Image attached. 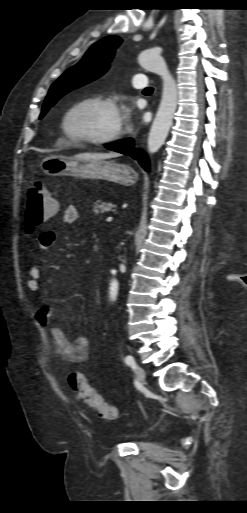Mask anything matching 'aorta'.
<instances>
[{
    "label": "aorta",
    "mask_w": 247,
    "mask_h": 513,
    "mask_svg": "<svg viewBox=\"0 0 247 513\" xmlns=\"http://www.w3.org/2000/svg\"><path fill=\"white\" fill-rule=\"evenodd\" d=\"M138 63L144 69L159 75L163 81L162 97L156 116L152 123L147 147L150 153H156L164 144L172 126L174 113L177 107V84L171 75L165 60L157 52L148 50L138 57ZM118 282L113 280L110 284V295L113 299L118 294Z\"/></svg>",
    "instance_id": "aorta-1"
}]
</instances>
